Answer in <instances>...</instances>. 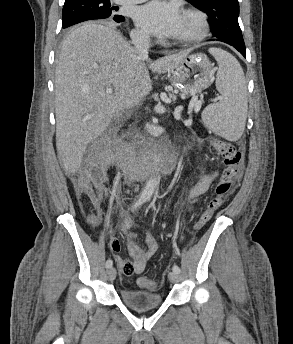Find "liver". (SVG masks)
Wrapping results in <instances>:
<instances>
[{
	"label": "liver",
	"instance_id": "1",
	"mask_svg": "<svg viewBox=\"0 0 293 344\" xmlns=\"http://www.w3.org/2000/svg\"><path fill=\"white\" fill-rule=\"evenodd\" d=\"M188 54L162 57L148 68L169 72ZM145 61L111 25L84 24L64 39L55 71V114L57 154L67 173L79 169L88 144L126 108L127 89L135 104L150 93ZM109 87L113 93H106Z\"/></svg>",
	"mask_w": 293,
	"mask_h": 344
}]
</instances>
